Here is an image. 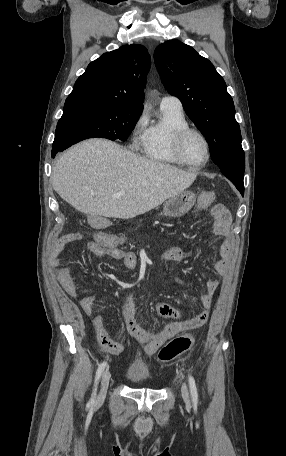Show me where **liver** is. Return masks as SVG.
<instances>
[{"instance_id": "1", "label": "liver", "mask_w": 286, "mask_h": 456, "mask_svg": "<svg viewBox=\"0 0 286 456\" xmlns=\"http://www.w3.org/2000/svg\"><path fill=\"white\" fill-rule=\"evenodd\" d=\"M196 171L146 159L104 139L69 148L52 170L53 189L89 215L129 219L187 189Z\"/></svg>"}]
</instances>
